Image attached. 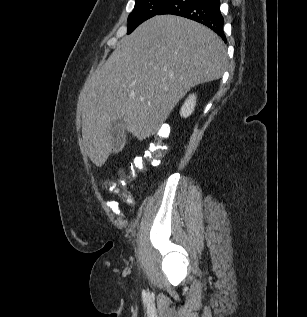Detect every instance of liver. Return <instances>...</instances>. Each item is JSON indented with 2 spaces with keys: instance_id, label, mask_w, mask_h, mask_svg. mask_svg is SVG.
Returning <instances> with one entry per match:
<instances>
[{
  "instance_id": "obj_1",
  "label": "liver",
  "mask_w": 307,
  "mask_h": 317,
  "mask_svg": "<svg viewBox=\"0 0 307 317\" xmlns=\"http://www.w3.org/2000/svg\"><path fill=\"white\" fill-rule=\"evenodd\" d=\"M228 64L222 39L195 21L155 16L124 37L86 81L78 106L91 161L102 166L112 151L110 130L123 118L139 140L153 135L195 85L222 77Z\"/></svg>"
}]
</instances>
